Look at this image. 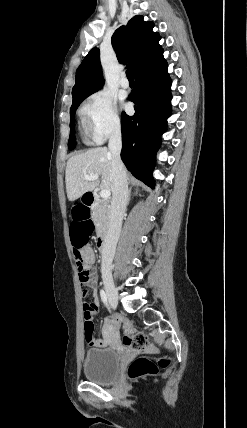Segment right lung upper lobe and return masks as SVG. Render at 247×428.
Listing matches in <instances>:
<instances>
[{"label": "right lung upper lobe", "mask_w": 247, "mask_h": 428, "mask_svg": "<svg viewBox=\"0 0 247 428\" xmlns=\"http://www.w3.org/2000/svg\"><path fill=\"white\" fill-rule=\"evenodd\" d=\"M153 27V22H145L143 16L136 15L112 36V46L119 62L126 63L133 74L163 56V49L158 43L161 37L152 31ZM99 56V49L93 48L78 68L76 83L72 88V105L102 88L103 76Z\"/></svg>", "instance_id": "1"}]
</instances>
